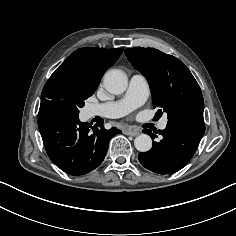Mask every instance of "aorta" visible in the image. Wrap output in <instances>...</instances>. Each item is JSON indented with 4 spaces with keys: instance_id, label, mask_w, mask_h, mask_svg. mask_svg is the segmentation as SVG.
Returning a JSON list of instances; mask_svg holds the SVG:
<instances>
[{
    "instance_id": "762f6f07",
    "label": "aorta",
    "mask_w": 236,
    "mask_h": 236,
    "mask_svg": "<svg viewBox=\"0 0 236 236\" xmlns=\"http://www.w3.org/2000/svg\"><path fill=\"white\" fill-rule=\"evenodd\" d=\"M103 84L108 92L118 95L126 90L128 79L123 71L112 69L104 75ZM134 146L140 152H147L152 148V139L147 134H141L135 138Z\"/></svg>"
}]
</instances>
